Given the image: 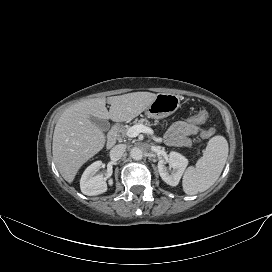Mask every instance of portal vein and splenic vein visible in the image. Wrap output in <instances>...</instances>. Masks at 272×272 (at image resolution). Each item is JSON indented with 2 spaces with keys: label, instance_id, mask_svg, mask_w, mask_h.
I'll return each mask as SVG.
<instances>
[{
  "label": "portal vein and splenic vein",
  "instance_id": "1",
  "mask_svg": "<svg viewBox=\"0 0 272 272\" xmlns=\"http://www.w3.org/2000/svg\"><path fill=\"white\" fill-rule=\"evenodd\" d=\"M140 133H147V134L152 135L153 134V130L150 127L138 124V125H134V126L130 127L128 129L126 135L128 137L133 138V137H137Z\"/></svg>",
  "mask_w": 272,
  "mask_h": 272
}]
</instances>
